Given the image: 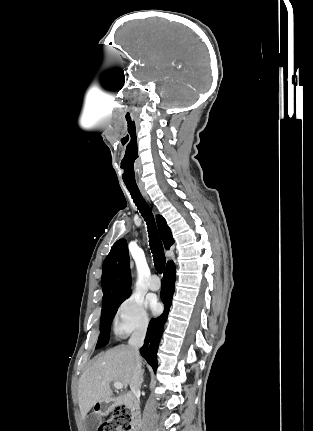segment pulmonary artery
<instances>
[{
    "instance_id": "e3ab8cb5",
    "label": "pulmonary artery",
    "mask_w": 313,
    "mask_h": 431,
    "mask_svg": "<svg viewBox=\"0 0 313 431\" xmlns=\"http://www.w3.org/2000/svg\"><path fill=\"white\" fill-rule=\"evenodd\" d=\"M161 283L157 275H152L149 281V288L153 291H157L160 289Z\"/></svg>"
}]
</instances>
